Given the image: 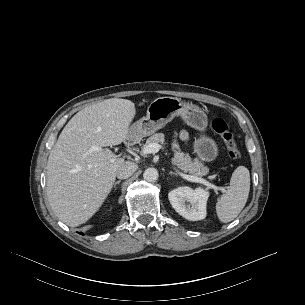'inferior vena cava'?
I'll return each instance as SVG.
<instances>
[{
	"label": "inferior vena cava",
	"mask_w": 305,
	"mask_h": 305,
	"mask_svg": "<svg viewBox=\"0 0 305 305\" xmlns=\"http://www.w3.org/2000/svg\"><path fill=\"white\" fill-rule=\"evenodd\" d=\"M137 170V165L134 162L126 161L117 170V177L119 179L129 178Z\"/></svg>",
	"instance_id": "602c4592"
}]
</instances>
